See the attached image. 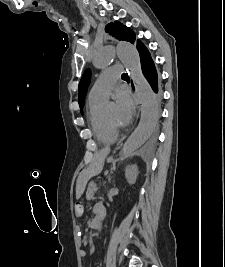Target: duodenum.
<instances>
[{"mask_svg":"<svg viewBox=\"0 0 225 267\" xmlns=\"http://www.w3.org/2000/svg\"><path fill=\"white\" fill-rule=\"evenodd\" d=\"M104 220V209L97 210L96 217L93 219L91 226L94 229L99 228L103 224Z\"/></svg>","mask_w":225,"mask_h":267,"instance_id":"410a0bca","label":"duodenum"}]
</instances>
